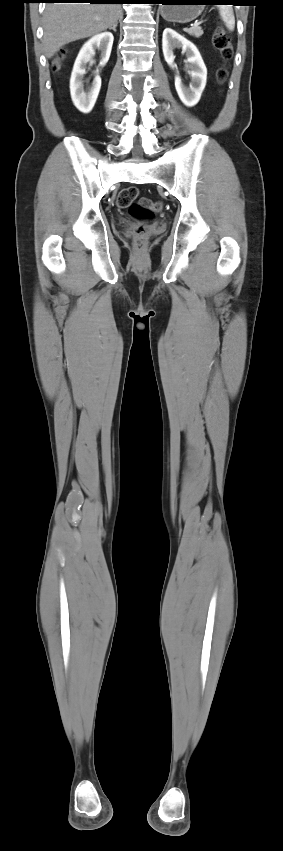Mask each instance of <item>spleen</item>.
Returning <instances> with one entry per match:
<instances>
[{
	"instance_id": "obj_1",
	"label": "spleen",
	"mask_w": 283,
	"mask_h": 851,
	"mask_svg": "<svg viewBox=\"0 0 283 851\" xmlns=\"http://www.w3.org/2000/svg\"><path fill=\"white\" fill-rule=\"evenodd\" d=\"M219 13L226 27L233 31L235 28V17L231 6H219Z\"/></svg>"
}]
</instances>
